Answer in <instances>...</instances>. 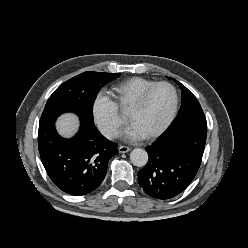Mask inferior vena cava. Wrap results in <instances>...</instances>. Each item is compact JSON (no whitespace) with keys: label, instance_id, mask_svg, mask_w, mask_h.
<instances>
[{"label":"inferior vena cava","instance_id":"1","mask_svg":"<svg viewBox=\"0 0 248 248\" xmlns=\"http://www.w3.org/2000/svg\"><path fill=\"white\" fill-rule=\"evenodd\" d=\"M104 134L107 138H115L118 135L117 131L114 129H107L105 130Z\"/></svg>","mask_w":248,"mask_h":248}]
</instances>
